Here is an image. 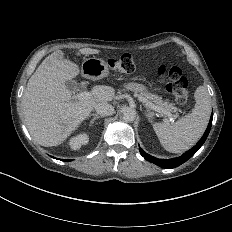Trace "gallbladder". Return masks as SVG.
Here are the masks:
<instances>
[{
	"label": "gallbladder",
	"mask_w": 232,
	"mask_h": 232,
	"mask_svg": "<svg viewBox=\"0 0 232 232\" xmlns=\"http://www.w3.org/2000/svg\"><path fill=\"white\" fill-rule=\"evenodd\" d=\"M66 86L69 90H83L84 89V85L83 84H79V83H76L75 81L73 80H69L66 82Z\"/></svg>",
	"instance_id": "bac80fb5"
}]
</instances>
